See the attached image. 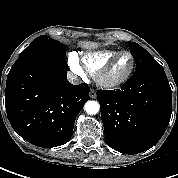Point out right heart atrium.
Returning a JSON list of instances; mask_svg holds the SVG:
<instances>
[{
  "instance_id": "obj_1",
  "label": "right heart atrium",
  "mask_w": 178,
  "mask_h": 178,
  "mask_svg": "<svg viewBox=\"0 0 178 178\" xmlns=\"http://www.w3.org/2000/svg\"><path fill=\"white\" fill-rule=\"evenodd\" d=\"M69 64L71 66V68L76 71V72H81V69L79 67V64H78V61H77V58L74 56V55H71L69 57Z\"/></svg>"
}]
</instances>
